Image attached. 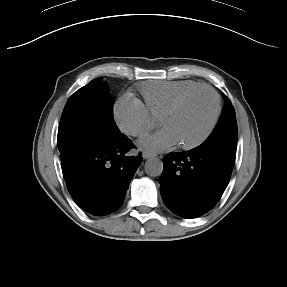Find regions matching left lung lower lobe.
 I'll return each mask as SVG.
<instances>
[{
  "label": "left lung lower lobe",
  "mask_w": 287,
  "mask_h": 287,
  "mask_svg": "<svg viewBox=\"0 0 287 287\" xmlns=\"http://www.w3.org/2000/svg\"><path fill=\"white\" fill-rule=\"evenodd\" d=\"M160 191L166 206L184 218L211 210L225 191L232 169L199 146L186 152H171L163 158Z\"/></svg>",
  "instance_id": "left-lung-lower-lobe-1"
}]
</instances>
